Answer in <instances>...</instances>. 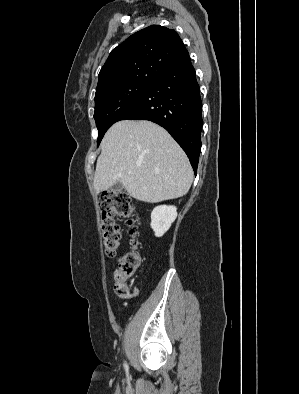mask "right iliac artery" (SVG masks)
Masks as SVG:
<instances>
[{"mask_svg":"<svg viewBox=\"0 0 299 394\" xmlns=\"http://www.w3.org/2000/svg\"><path fill=\"white\" fill-rule=\"evenodd\" d=\"M124 367H127V365H126V364H124Z\"/></svg>","mask_w":299,"mask_h":394,"instance_id":"1","label":"right iliac artery"}]
</instances>
